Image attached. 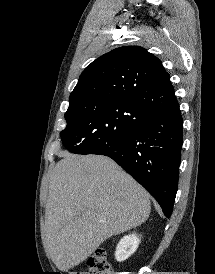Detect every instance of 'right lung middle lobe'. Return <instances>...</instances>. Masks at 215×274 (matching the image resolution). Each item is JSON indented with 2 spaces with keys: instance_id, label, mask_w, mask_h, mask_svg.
<instances>
[{
  "instance_id": "right-lung-middle-lobe-1",
  "label": "right lung middle lobe",
  "mask_w": 215,
  "mask_h": 274,
  "mask_svg": "<svg viewBox=\"0 0 215 274\" xmlns=\"http://www.w3.org/2000/svg\"><path fill=\"white\" fill-rule=\"evenodd\" d=\"M149 115L150 112L119 100L69 102L65 113L67 126L61 139L72 153L92 154L124 139Z\"/></svg>"
}]
</instances>
